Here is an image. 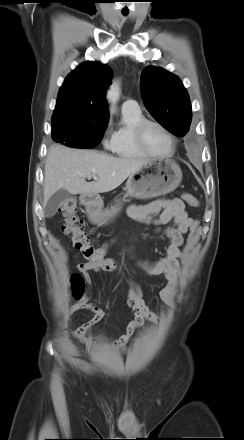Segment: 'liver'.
<instances>
[{
	"label": "liver",
	"instance_id": "1",
	"mask_svg": "<svg viewBox=\"0 0 244 440\" xmlns=\"http://www.w3.org/2000/svg\"><path fill=\"white\" fill-rule=\"evenodd\" d=\"M147 159L116 158L95 150L53 145L48 150L44 171L43 206L59 189L73 195H98L116 189ZM95 175L98 179L86 182Z\"/></svg>",
	"mask_w": 244,
	"mask_h": 440
}]
</instances>
